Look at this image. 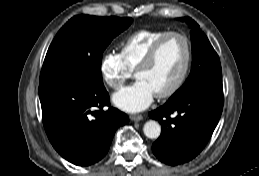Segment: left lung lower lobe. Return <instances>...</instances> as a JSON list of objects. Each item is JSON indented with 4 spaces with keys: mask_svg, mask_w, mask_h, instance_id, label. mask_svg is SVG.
<instances>
[{
    "mask_svg": "<svg viewBox=\"0 0 259 176\" xmlns=\"http://www.w3.org/2000/svg\"><path fill=\"white\" fill-rule=\"evenodd\" d=\"M222 109L223 93L199 91L150 112L162 126L152 145L154 155L168 165L195 158L212 136Z\"/></svg>",
    "mask_w": 259,
    "mask_h": 176,
    "instance_id": "obj_1",
    "label": "left lung lower lobe"
}]
</instances>
